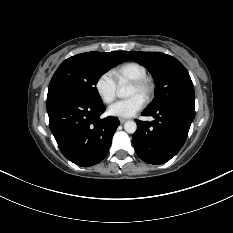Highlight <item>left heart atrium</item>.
<instances>
[{
	"instance_id": "1",
	"label": "left heart atrium",
	"mask_w": 233,
	"mask_h": 233,
	"mask_svg": "<svg viewBox=\"0 0 233 233\" xmlns=\"http://www.w3.org/2000/svg\"><path fill=\"white\" fill-rule=\"evenodd\" d=\"M144 104L145 100L141 95H133L112 104L108 108V114L119 118H129L139 112Z\"/></svg>"
}]
</instances>
